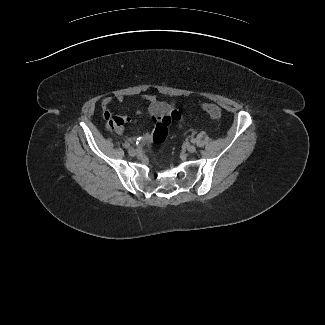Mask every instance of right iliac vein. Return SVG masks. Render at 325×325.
Wrapping results in <instances>:
<instances>
[{
	"label": "right iliac vein",
	"mask_w": 325,
	"mask_h": 325,
	"mask_svg": "<svg viewBox=\"0 0 325 325\" xmlns=\"http://www.w3.org/2000/svg\"><path fill=\"white\" fill-rule=\"evenodd\" d=\"M128 153H129V155H131V156H135V155L137 154V152H136V150H135L134 148H129V149H128Z\"/></svg>",
	"instance_id": "1"
}]
</instances>
